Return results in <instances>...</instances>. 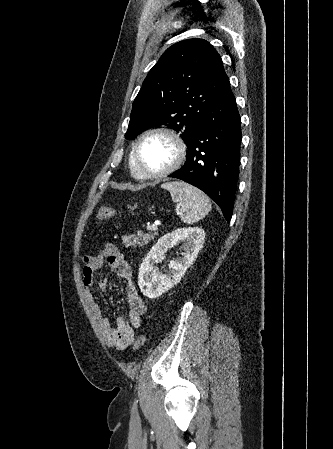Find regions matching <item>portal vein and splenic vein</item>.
I'll use <instances>...</instances> for the list:
<instances>
[{"instance_id":"18ae733b","label":"portal vein and splenic vein","mask_w":333,"mask_h":449,"mask_svg":"<svg viewBox=\"0 0 333 449\" xmlns=\"http://www.w3.org/2000/svg\"><path fill=\"white\" fill-rule=\"evenodd\" d=\"M157 229V224H153L152 226H149V230L154 231Z\"/></svg>"}]
</instances>
